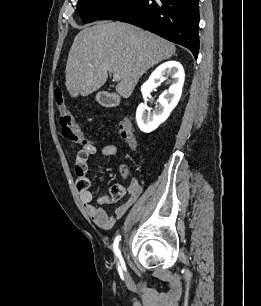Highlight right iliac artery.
<instances>
[{
  "instance_id": "right-iliac-artery-1",
  "label": "right iliac artery",
  "mask_w": 261,
  "mask_h": 306,
  "mask_svg": "<svg viewBox=\"0 0 261 306\" xmlns=\"http://www.w3.org/2000/svg\"><path fill=\"white\" fill-rule=\"evenodd\" d=\"M119 241H120V236H117L115 238L113 247H114V252H115V255H116V259H117L118 265H121L124 268L125 267L124 260H123V258L121 256V251H120V249L118 247L119 246Z\"/></svg>"
}]
</instances>
